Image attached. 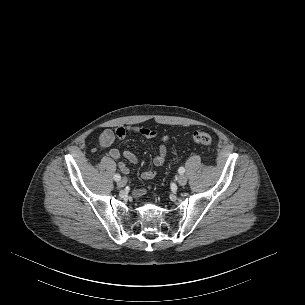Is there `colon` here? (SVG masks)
<instances>
[{
	"mask_svg": "<svg viewBox=\"0 0 305 305\" xmlns=\"http://www.w3.org/2000/svg\"><path fill=\"white\" fill-rule=\"evenodd\" d=\"M191 138L193 141H195L196 143H199V144H202V145H205L209 148L212 147V138L211 136L206 133V132H200V131H197V132H194L192 135H191Z\"/></svg>",
	"mask_w": 305,
	"mask_h": 305,
	"instance_id": "5ec220e1",
	"label": "colon"
}]
</instances>
